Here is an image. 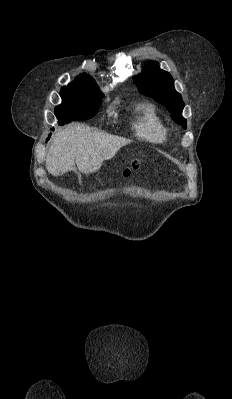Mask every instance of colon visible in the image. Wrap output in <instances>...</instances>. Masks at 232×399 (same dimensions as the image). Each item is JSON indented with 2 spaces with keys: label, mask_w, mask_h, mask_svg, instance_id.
Listing matches in <instances>:
<instances>
[{
  "label": "colon",
  "mask_w": 232,
  "mask_h": 399,
  "mask_svg": "<svg viewBox=\"0 0 232 399\" xmlns=\"http://www.w3.org/2000/svg\"><path fill=\"white\" fill-rule=\"evenodd\" d=\"M127 164H128V165H138V164H139V161H138V160H128V161H127Z\"/></svg>",
  "instance_id": "5ec220e1"
}]
</instances>
